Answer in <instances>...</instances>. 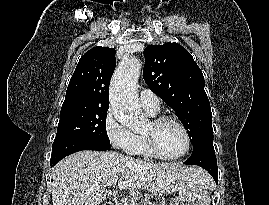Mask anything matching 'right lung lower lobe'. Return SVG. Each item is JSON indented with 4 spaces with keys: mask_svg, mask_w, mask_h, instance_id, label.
<instances>
[{
    "mask_svg": "<svg viewBox=\"0 0 269 205\" xmlns=\"http://www.w3.org/2000/svg\"><path fill=\"white\" fill-rule=\"evenodd\" d=\"M109 149L110 146L107 144H102L93 140H85L80 138H70L54 141L52 146L50 165L54 166L65 156L81 150L105 151Z\"/></svg>",
    "mask_w": 269,
    "mask_h": 205,
    "instance_id": "obj_1",
    "label": "right lung lower lobe"
}]
</instances>
